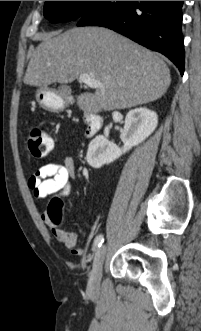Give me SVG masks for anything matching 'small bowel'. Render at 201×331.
Masks as SVG:
<instances>
[{"instance_id": "1", "label": "small bowel", "mask_w": 201, "mask_h": 331, "mask_svg": "<svg viewBox=\"0 0 201 331\" xmlns=\"http://www.w3.org/2000/svg\"><path fill=\"white\" fill-rule=\"evenodd\" d=\"M73 158L68 156L62 164L46 163L39 167L28 179V187L37 199L49 198L51 204L54 200L61 201L67 198L72 190L70 177L74 174ZM43 220L51 227L55 238L65 247L71 249L74 255H82L83 249L76 247L78 236L60 227V220L49 212L43 214Z\"/></svg>"}]
</instances>
